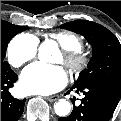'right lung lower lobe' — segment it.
Segmentation results:
<instances>
[{
    "instance_id": "right-lung-lower-lobe-1",
    "label": "right lung lower lobe",
    "mask_w": 121,
    "mask_h": 121,
    "mask_svg": "<svg viewBox=\"0 0 121 121\" xmlns=\"http://www.w3.org/2000/svg\"><path fill=\"white\" fill-rule=\"evenodd\" d=\"M18 76L9 67H1V121H17L24 111L25 100L15 99L9 88Z\"/></svg>"
}]
</instances>
